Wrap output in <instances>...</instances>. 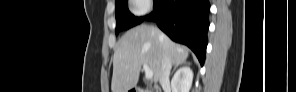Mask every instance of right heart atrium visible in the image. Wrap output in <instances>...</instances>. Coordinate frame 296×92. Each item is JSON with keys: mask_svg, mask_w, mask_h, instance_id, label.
Returning a JSON list of instances; mask_svg holds the SVG:
<instances>
[{"mask_svg": "<svg viewBox=\"0 0 296 92\" xmlns=\"http://www.w3.org/2000/svg\"><path fill=\"white\" fill-rule=\"evenodd\" d=\"M152 7V2L149 0H132L131 12L136 16L146 15Z\"/></svg>", "mask_w": 296, "mask_h": 92, "instance_id": "1", "label": "right heart atrium"}]
</instances>
